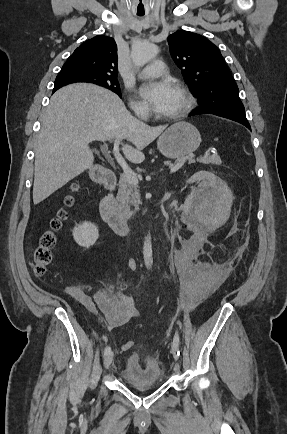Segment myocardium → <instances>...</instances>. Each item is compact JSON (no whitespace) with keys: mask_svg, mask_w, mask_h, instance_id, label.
<instances>
[{"mask_svg":"<svg viewBox=\"0 0 287 434\" xmlns=\"http://www.w3.org/2000/svg\"><path fill=\"white\" fill-rule=\"evenodd\" d=\"M176 88L184 99V105L178 112L163 116V118L168 120H179L184 118L187 114L191 112L195 103L194 97L187 87H185L183 84L178 83L176 84Z\"/></svg>","mask_w":287,"mask_h":434,"instance_id":"f54148a6","label":"myocardium"}]
</instances>
